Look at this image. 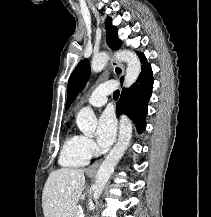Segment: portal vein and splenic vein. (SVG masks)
I'll return each mask as SVG.
<instances>
[{
	"label": "portal vein and splenic vein",
	"mask_w": 211,
	"mask_h": 217,
	"mask_svg": "<svg viewBox=\"0 0 211 217\" xmlns=\"http://www.w3.org/2000/svg\"><path fill=\"white\" fill-rule=\"evenodd\" d=\"M79 217H84V214L82 211L80 212Z\"/></svg>",
	"instance_id": "1"
}]
</instances>
